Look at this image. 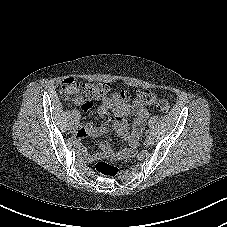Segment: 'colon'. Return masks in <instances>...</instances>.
I'll return each mask as SVG.
<instances>
[{
  "mask_svg": "<svg viewBox=\"0 0 227 227\" xmlns=\"http://www.w3.org/2000/svg\"><path fill=\"white\" fill-rule=\"evenodd\" d=\"M109 90L110 86L106 83L81 84L75 78H66L61 83L60 93L66 99H74L82 92L87 100H91L103 98ZM136 100L144 105H152L156 102V95L148 90H140L136 94ZM157 108L161 113L167 114L170 105L166 100L161 99L157 102ZM95 169L98 173L107 177H115L119 173L116 166L105 161L97 162Z\"/></svg>",
  "mask_w": 227,
  "mask_h": 227,
  "instance_id": "colon-1",
  "label": "colon"
}]
</instances>
